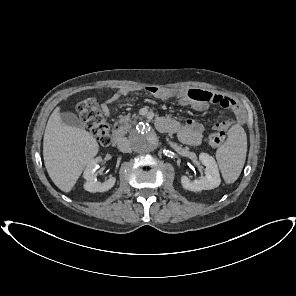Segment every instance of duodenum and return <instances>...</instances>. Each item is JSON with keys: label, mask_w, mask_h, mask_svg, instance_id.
<instances>
[{"label": "duodenum", "mask_w": 296, "mask_h": 296, "mask_svg": "<svg viewBox=\"0 0 296 296\" xmlns=\"http://www.w3.org/2000/svg\"><path fill=\"white\" fill-rule=\"evenodd\" d=\"M157 127L161 131L170 132L173 129V123L168 120L160 119L157 121ZM122 138H123L122 131L119 128L114 129L112 133V139H111L112 144L117 146H122ZM124 148L125 147H123V149Z\"/></svg>", "instance_id": "duodenum-1"}]
</instances>
